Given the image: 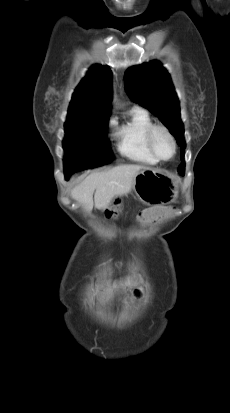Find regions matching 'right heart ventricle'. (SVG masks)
<instances>
[{
	"mask_svg": "<svg viewBox=\"0 0 230 413\" xmlns=\"http://www.w3.org/2000/svg\"><path fill=\"white\" fill-rule=\"evenodd\" d=\"M152 124L153 121L146 110L132 109L129 119L116 129L119 153L142 164H156L158 161L151 154L146 142V133Z\"/></svg>",
	"mask_w": 230,
	"mask_h": 413,
	"instance_id": "1",
	"label": "right heart ventricle"
}]
</instances>
